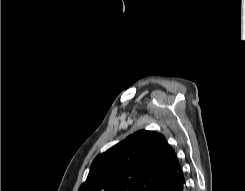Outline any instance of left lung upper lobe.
Listing matches in <instances>:
<instances>
[{
    "label": "left lung upper lobe",
    "mask_w": 245,
    "mask_h": 191,
    "mask_svg": "<svg viewBox=\"0 0 245 191\" xmlns=\"http://www.w3.org/2000/svg\"><path fill=\"white\" fill-rule=\"evenodd\" d=\"M177 164L162 134L139 130L98 155L78 191H156Z\"/></svg>",
    "instance_id": "left-lung-upper-lobe-1"
}]
</instances>
